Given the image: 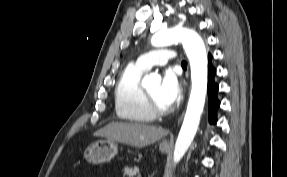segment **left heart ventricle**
Instances as JSON below:
<instances>
[{"label":"left heart ventricle","instance_id":"obj_1","mask_svg":"<svg viewBox=\"0 0 287 177\" xmlns=\"http://www.w3.org/2000/svg\"><path fill=\"white\" fill-rule=\"evenodd\" d=\"M147 90L151 94V96L155 99V101L158 103L159 106H161L162 108H170V105L167 104L161 97L160 83L150 86Z\"/></svg>","mask_w":287,"mask_h":177}]
</instances>
